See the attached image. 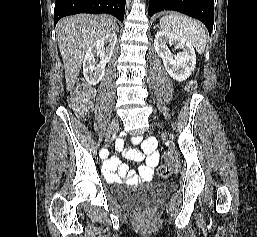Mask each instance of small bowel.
<instances>
[{
	"label": "small bowel",
	"instance_id": "small-bowel-1",
	"mask_svg": "<svg viewBox=\"0 0 257 237\" xmlns=\"http://www.w3.org/2000/svg\"><path fill=\"white\" fill-rule=\"evenodd\" d=\"M132 144H140V149L129 148L126 154L135 160L145 159V164L141 165L138 172L130 170L127 165L121 163L116 156L104 163V176L111 182H138L152 179L159 164V154L156 151V141L153 137L143 138L135 136L131 139Z\"/></svg>",
	"mask_w": 257,
	"mask_h": 237
}]
</instances>
